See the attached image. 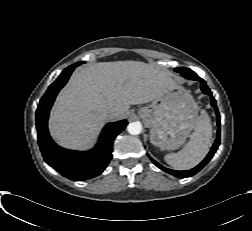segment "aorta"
Wrapping results in <instances>:
<instances>
[{
    "mask_svg": "<svg viewBox=\"0 0 252 231\" xmlns=\"http://www.w3.org/2000/svg\"><path fill=\"white\" fill-rule=\"evenodd\" d=\"M127 131L131 134V135H138L141 133L142 131V125L140 122H131L128 124L127 126Z\"/></svg>",
    "mask_w": 252,
    "mask_h": 231,
    "instance_id": "762f6f07",
    "label": "aorta"
}]
</instances>
